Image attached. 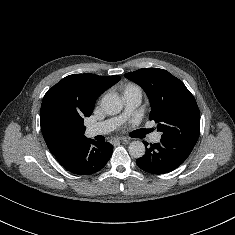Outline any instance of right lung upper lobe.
Segmentation results:
<instances>
[{"label":"right lung upper lobe","instance_id":"obj_1","mask_svg":"<svg viewBox=\"0 0 235 235\" xmlns=\"http://www.w3.org/2000/svg\"><path fill=\"white\" fill-rule=\"evenodd\" d=\"M119 80L118 75L73 74L47 91L41 105L40 125L45 142L58 161L86 139V127L79 121L92 114L98 96Z\"/></svg>","mask_w":235,"mask_h":235}]
</instances>
